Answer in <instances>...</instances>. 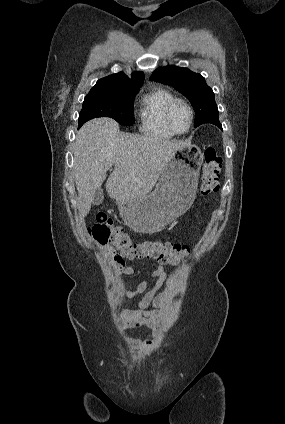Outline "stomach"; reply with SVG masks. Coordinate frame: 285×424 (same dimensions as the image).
I'll list each match as a JSON object with an SVG mask.
<instances>
[{
    "mask_svg": "<svg viewBox=\"0 0 285 424\" xmlns=\"http://www.w3.org/2000/svg\"><path fill=\"white\" fill-rule=\"evenodd\" d=\"M203 155L195 145L175 151L165 165L155 190L139 199L118 203L120 216L134 231L164 228L194 202Z\"/></svg>",
    "mask_w": 285,
    "mask_h": 424,
    "instance_id": "0dacf381",
    "label": "stomach"
}]
</instances>
